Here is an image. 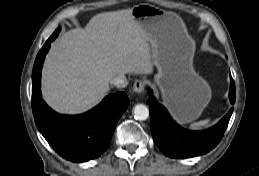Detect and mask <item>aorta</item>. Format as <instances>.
Instances as JSON below:
<instances>
[{
    "label": "aorta",
    "instance_id": "1",
    "mask_svg": "<svg viewBox=\"0 0 259 176\" xmlns=\"http://www.w3.org/2000/svg\"><path fill=\"white\" fill-rule=\"evenodd\" d=\"M133 114L137 120L143 121L149 117V109L144 104H137L133 108Z\"/></svg>",
    "mask_w": 259,
    "mask_h": 176
}]
</instances>
